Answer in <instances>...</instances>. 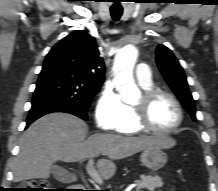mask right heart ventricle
<instances>
[{
    "instance_id": "right-heart-ventricle-1",
    "label": "right heart ventricle",
    "mask_w": 218,
    "mask_h": 191,
    "mask_svg": "<svg viewBox=\"0 0 218 191\" xmlns=\"http://www.w3.org/2000/svg\"><path fill=\"white\" fill-rule=\"evenodd\" d=\"M142 87L146 90L152 89V84ZM116 131L123 134H138L143 131L136 123L135 113L132 106L126 105L125 117L118 125Z\"/></svg>"
}]
</instances>
